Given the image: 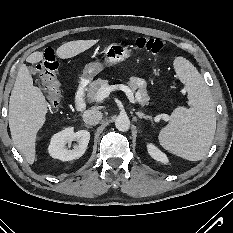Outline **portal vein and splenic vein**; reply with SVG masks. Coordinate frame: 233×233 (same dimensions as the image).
Returning <instances> with one entry per match:
<instances>
[{
	"mask_svg": "<svg viewBox=\"0 0 233 233\" xmlns=\"http://www.w3.org/2000/svg\"><path fill=\"white\" fill-rule=\"evenodd\" d=\"M116 90L123 91L126 94L129 101L132 104H135L136 100L134 98V94L132 90L124 84L103 85L97 92L96 101L97 102L103 101L105 98L109 96L110 92L116 91ZM157 118H162L165 121L169 120V116L167 114L158 115Z\"/></svg>",
	"mask_w": 233,
	"mask_h": 233,
	"instance_id": "obj_1",
	"label": "portal vein and splenic vein"
}]
</instances>
